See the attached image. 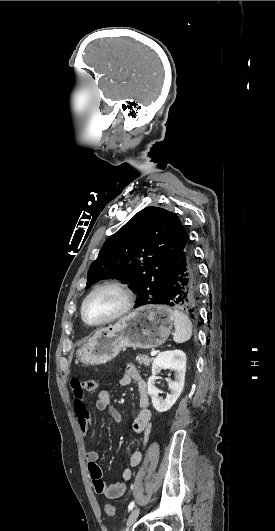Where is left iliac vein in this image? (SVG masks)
Returning <instances> with one entry per match:
<instances>
[{
	"mask_svg": "<svg viewBox=\"0 0 275 531\" xmlns=\"http://www.w3.org/2000/svg\"><path fill=\"white\" fill-rule=\"evenodd\" d=\"M139 513H140V508L139 507H136L135 509H133L128 517V520H127V527L130 528L133 526V524L136 522L138 516H139Z\"/></svg>",
	"mask_w": 275,
	"mask_h": 531,
	"instance_id": "1",
	"label": "left iliac vein"
}]
</instances>
